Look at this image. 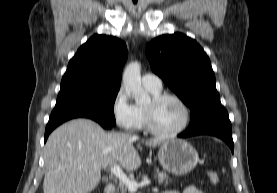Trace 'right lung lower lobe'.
<instances>
[{
    "mask_svg": "<svg viewBox=\"0 0 277 193\" xmlns=\"http://www.w3.org/2000/svg\"><path fill=\"white\" fill-rule=\"evenodd\" d=\"M89 118L92 119L96 122H98L103 128L105 129H111L114 124L88 112L84 111H77V110H65V109H60V110H53V112L50 115L49 122L46 126L45 130V141L47 140L49 134L60 124L63 122L73 119V118Z\"/></svg>",
    "mask_w": 277,
    "mask_h": 193,
    "instance_id": "1",
    "label": "right lung lower lobe"
}]
</instances>
